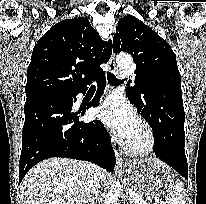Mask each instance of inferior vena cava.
Masks as SVG:
<instances>
[{"mask_svg": "<svg viewBox=\"0 0 206 204\" xmlns=\"http://www.w3.org/2000/svg\"><path fill=\"white\" fill-rule=\"evenodd\" d=\"M88 170L90 177L87 181L85 203L94 204V200L97 198L101 187L102 169L93 163H88Z\"/></svg>", "mask_w": 206, "mask_h": 204, "instance_id": "602c4592", "label": "inferior vena cava"}]
</instances>
